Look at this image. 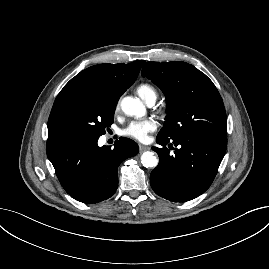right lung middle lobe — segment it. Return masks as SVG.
<instances>
[{
	"instance_id": "right-lung-middle-lobe-1",
	"label": "right lung middle lobe",
	"mask_w": 269,
	"mask_h": 269,
	"mask_svg": "<svg viewBox=\"0 0 269 269\" xmlns=\"http://www.w3.org/2000/svg\"><path fill=\"white\" fill-rule=\"evenodd\" d=\"M117 101L100 91H68L54 102V125L66 139H98L113 123Z\"/></svg>"
}]
</instances>
